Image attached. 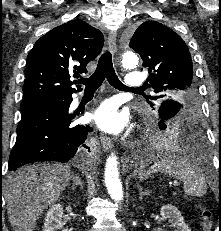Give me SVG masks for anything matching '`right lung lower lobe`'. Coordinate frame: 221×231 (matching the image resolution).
<instances>
[{
	"instance_id": "obj_1",
	"label": "right lung lower lobe",
	"mask_w": 221,
	"mask_h": 231,
	"mask_svg": "<svg viewBox=\"0 0 221 231\" xmlns=\"http://www.w3.org/2000/svg\"><path fill=\"white\" fill-rule=\"evenodd\" d=\"M71 96L45 99L21 109L9 170L39 161L67 162L84 144L89 126H72ZM87 148V147H86Z\"/></svg>"
}]
</instances>
